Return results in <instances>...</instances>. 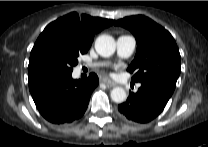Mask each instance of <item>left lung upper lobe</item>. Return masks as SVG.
I'll list each match as a JSON object with an SVG mask.
<instances>
[{
    "label": "left lung upper lobe",
    "mask_w": 208,
    "mask_h": 147,
    "mask_svg": "<svg viewBox=\"0 0 208 147\" xmlns=\"http://www.w3.org/2000/svg\"><path fill=\"white\" fill-rule=\"evenodd\" d=\"M115 25L127 28L136 38V56L127 69L134 72L132 81L160 80L175 88L181 71V58L172 35L142 15L125 17Z\"/></svg>",
    "instance_id": "5c2ea615"
}]
</instances>
